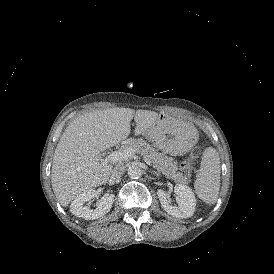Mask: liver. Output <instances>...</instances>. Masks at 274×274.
<instances>
[{
    "mask_svg": "<svg viewBox=\"0 0 274 274\" xmlns=\"http://www.w3.org/2000/svg\"><path fill=\"white\" fill-rule=\"evenodd\" d=\"M133 118L134 134L146 135L158 120V113L107 108L81 115L69 124L55 149L51 174L53 191L62 206H68L79 193L109 180L113 166L100 162V151L125 140Z\"/></svg>",
    "mask_w": 274,
    "mask_h": 274,
    "instance_id": "6515ba94",
    "label": "liver"
}]
</instances>
